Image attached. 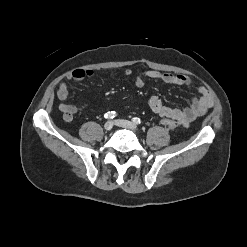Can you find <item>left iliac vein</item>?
I'll list each match as a JSON object with an SVG mask.
<instances>
[{
	"instance_id": "4c4485c4",
	"label": "left iliac vein",
	"mask_w": 247,
	"mask_h": 247,
	"mask_svg": "<svg viewBox=\"0 0 247 247\" xmlns=\"http://www.w3.org/2000/svg\"><path fill=\"white\" fill-rule=\"evenodd\" d=\"M115 125L122 127V128L130 129L133 131L137 130V126L128 120L118 119L115 121Z\"/></svg>"
}]
</instances>
